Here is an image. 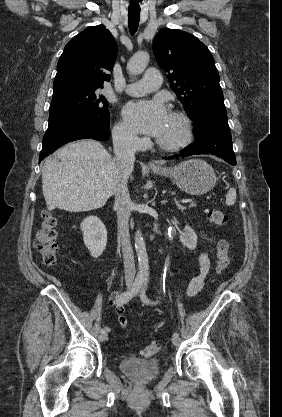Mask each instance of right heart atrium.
I'll return each instance as SVG.
<instances>
[{
    "label": "right heart atrium",
    "mask_w": 282,
    "mask_h": 417,
    "mask_svg": "<svg viewBox=\"0 0 282 417\" xmlns=\"http://www.w3.org/2000/svg\"><path fill=\"white\" fill-rule=\"evenodd\" d=\"M114 143L119 149L134 152L140 147L139 138L122 122L113 131Z\"/></svg>",
    "instance_id": "right-heart-atrium-1"
}]
</instances>
